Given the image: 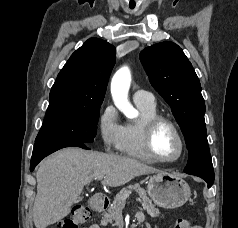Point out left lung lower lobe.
Segmentation results:
<instances>
[{"instance_id":"0a47b994","label":"left lung lower lobe","mask_w":238,"mask_h":228,"mask_svg":"<svg viewBox=\"0 0 238 228\" xmlns=\"http://www.w3.org/2000/svg\"><path fill=\"white\" fill-rule=\"evenodd\" d=\"M185 173L191 174V175H196V176L203 178L207 182L208 188H210L214 182V178L211 176H208V175H204V174H200V173H191V172H185Z\"/></svg>"}]
</instances>
